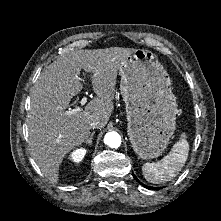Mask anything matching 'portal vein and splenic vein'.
<instances>
[{"instance_id":"portal-vein-and-splenic-vein-1","label":"portal vein and splenic vein","mask_w":221,"mask_h":221,"mask_svg":"<svg viewBox=\"0 0 221 221\" xmlns=\"http://www.w3.org/2000/svg\"><path fill=\"white\" fill-rule=\"evenodd\" d=\"M86 102H87V97L84 96L80 101L81 106L85 105ZM81 110H82V107H76L74 109H69L68 111H65V114L70 116V115H74V114L80 112Z\"/></svg>"}]
</instances>
